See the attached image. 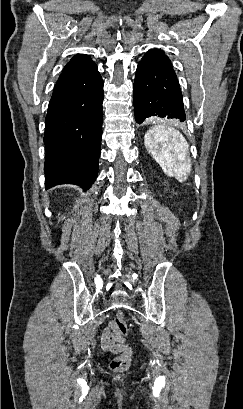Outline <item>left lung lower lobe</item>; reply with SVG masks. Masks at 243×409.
<instances>
[{
    "label": "left lung lower lobe",
    "mask_w": 243,
    "mask_h": 409,
    "mask_svg": "<svg viewBox=\"0 0 243 409\" xmlns=\"http://www.w3.org/2000/svg\"><path fill=\"white\" fill-rule=\"evenodd\" d=\"M133 88L135 119L138 124L152 116L185 121L182 93L173 69L140 61Z\"/></svg>",
    "instance_id": "0a47b994"
}]
</instances>
